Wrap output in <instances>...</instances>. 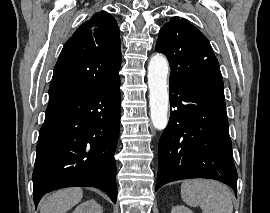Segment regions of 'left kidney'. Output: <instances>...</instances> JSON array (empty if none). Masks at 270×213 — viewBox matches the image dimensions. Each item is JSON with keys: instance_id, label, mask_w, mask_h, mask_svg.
Listing matches in <instances>:
<instances>
[{"instance_id": "5707ae66", "label": "left kidney", "mask_w": 270, "mask_h": 213, "mask_svg": "<svg viewBox=\"0 0 270 213\" xmlns=\"http://www.w3.org/2000/svg\"><path fill=\"white\" fill-rule=\"evenodd\" d=\"M171 213H193V212L186 206L177 205L172 208Z\"/></svg>"}]
</instances>
